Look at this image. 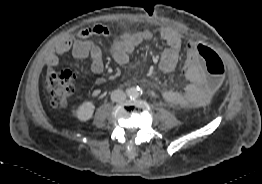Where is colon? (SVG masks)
Listing matches in <instances>:
<instances>
[{
	"instance_id": "colon-1",
	"label": "colon",
	"mask_w": 262,
	"mask_h": 184,
	"mask_svg": "<svg viewBox=\"0 0 262 184\" xmlns=\"http://www.w3.org/2000/svg\"><path fill=\"white\" fill-rule=\"evenodd\" d=\"M194 53L204 64L206 83L211 91L218 89L225 77V66L218 54L209 46L201 43L194 45ZM74 76L69 70L51 72L47 77V90L50 105L54 109L67 106L74 92Z\"/></svg>"
}]
</instances>
